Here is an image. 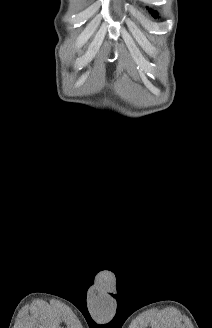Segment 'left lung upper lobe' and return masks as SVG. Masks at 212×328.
Returning a JSON list of instances; mask_svg holds the SVG:
<instances>
[{"instance_id": "obj_1", "label": "left lung upper lobe", "mask_w": 212, "mask_h": 328, "mask_svg": "<svg viewBox=\"0 0 212 328\" xmlns=\"http://www.w3.org/2000/svg\"><path fill=\"white\" fill-rule=\"evenodd\" d=\"M149 12L151 13V15L153 17H157V13L155 11H152L151 9H149Z\"/></svg>"}]
</instances>
